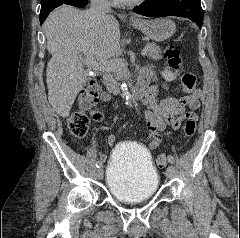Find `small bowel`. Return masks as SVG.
I'll list each match as a JSON object with an SVG mask.
<instances>
[{"instance_id":"obj_1","label":"small bowel","mask_w":240,"mask_h":238,"mask_svg":"<svg viewBox=\"0 0 240 238\" xmlns=\"http://www.w3.org/2000/svg\"><path fill=\"white\" fill-rule=\"evenodd\" d=\"M142 72H147L143 70ZM202 91L194 88L187 92L183 97H169L159 101L156 97V87L151 86L147 89L146 95L142 101L145 111L148 127V141L151 148H156L162 139L160 133H167V128L172 130L180 128L182 122L187 119L197 120L196 111L200 107V98ZM99 99L102 102H108L110 95L106 92L100 94ZM90 115L94 121H102L105 117L101 108L92 109ZM108 146H115L116 139L111 135L108 139ZM99 159L107 158L106 154H99Z\"/></svg>"}]
</instances>
